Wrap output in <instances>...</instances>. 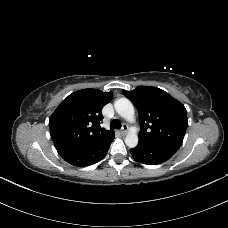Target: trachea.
Returning <instances> with one entry per match:
<instances>
[{"mask_svg": "<svg viewBox=\"0 0 228 228\" xmlns=\"http://www.w3.org/2000/svg\"><path fill=\"white\" fill-rule=\"evenodd\" d=\"M110 128L111 129H120L121 128V123L118 119H114L111 121V124H110Z\"/></svg>", "mask_w": 228, "mask_h": 228, "instance_id": "obj_1", "label": "trachea"}]
</instances>
